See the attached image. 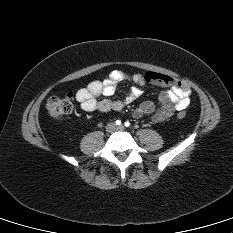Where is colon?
<instances>
[{"mask_svg": "<svg viewBox=\"0 0 233 233\" xmlns=\"http://www.w3.org/2000/svg\"><path fill=\"white\" fill-rule=\"evenodd\" d=\"M46 108L49 114L54 118H59L69 114L73 109L72 95L68 94L65 97H51L46 102ZM179 118H185L186 112L180 111Z\"/></svg>", "mask_w": 233, "mask_h": 233, "instance_id": "colon-1", "label": "colon"}]
</instances>
